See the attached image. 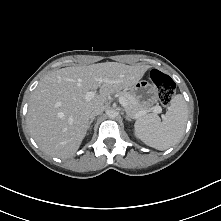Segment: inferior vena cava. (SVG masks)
I'll return each instance as SVG.
<instances>
[{
  "instance_id": "1",
  "label": "inferior vena cava",
  "mask_w": 221,
  "mask_h": 221,
  "mask_svg": "<svg viewBox=\"0 0 221 221\" xmlns=\"http://www.w3.org/2000/svg\"><path fill=\"white\" fill-rule=\"evenodd\" d=\"M104 108H96L90 113V118H93L97 115H100L103 112Z\"/></svg>"
}]
</instances>
